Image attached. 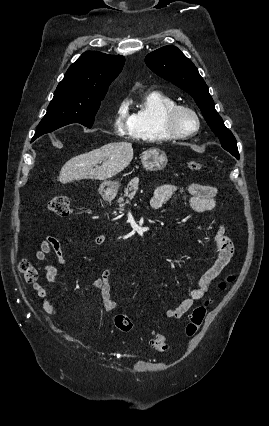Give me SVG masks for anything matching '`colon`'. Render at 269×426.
Masks as SVG:
<instances>
[{"label":"colon","mask_w":269,"mask_h":426,"mask_svg":"<svg viewBox=\"0 0 269 426\" xmlns=\"http://www.w3.org/2000/svg\"><path fill=\"white\" fill-rule=\"evenodd\" d=\"M187 167L193 172H201L203 168L202 163L196 160L188 161ZM49 209L53 214L63 219H70L72 215L70 199L65 195L53 196L49 201ZM19 269L26 282L35 283L39 279V272L30 261L23 260L20 263ZM233 280V275L228 276L225 280L219 283V288L225 289L227 284L231 283ZM208 304L209 301H206L204 304L197 306L193 310L190 321L186 327V334L188 336L194 335L202 324ZM114 323L116 328L121 332H130L133 329L132 320L123 314H117L114 317ZM150 344L153 348L159 351H164L168 347L166 338L161 334L154 335Z\"/></svg>","instance_id":"colon-1"}]
</instances>
